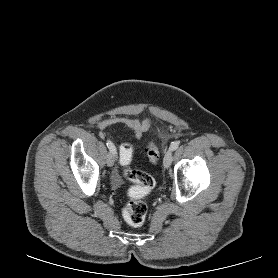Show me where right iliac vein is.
<instances>
[{"label": "right iliac vein", "mask_w": 278, "mask_h": 278, "mask_svg": "<svg viewBox=\"0 0 278 278\" xmlns=\"http://www.w3.org/2000/svg\"><path fill=\"white\" fill-rule=\"evenodd\" d=\"M115 162V154L113 152L108 153L106 157V163L109 167L113 166Z\"/></svg>", "instance_id": "63e3f726"}]
</instances>
